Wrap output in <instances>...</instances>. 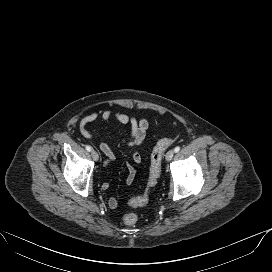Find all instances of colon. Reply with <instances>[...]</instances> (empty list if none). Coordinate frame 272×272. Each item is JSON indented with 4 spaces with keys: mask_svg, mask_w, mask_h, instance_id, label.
Instances as JSON below:
<instances>
[{
    "mask_svg": "<svg viewBox=\"0 0 272 272\" xmlns=\"http://www.w3.org/2000/svg\"><path fill=\"white\" fill-rule=\"evenodd\" d=\"M172 144L173 139L163 138L153 147L150 157V168L145 192L140 196L130 199L129 206L138 207L148 203L151 191L155 187L160 175L163 155ZM122 220L126 226H134L138 221V217L135 213L130 212L125 214Z\"/></svg>",
    "mask_w": 272,
    "mask_h": 272,
    "instance_id": "1",
    "label": "colon"
}]
</instances>
